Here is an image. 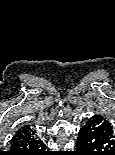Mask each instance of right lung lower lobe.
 <instances>
[{"instance_id": "right-lung-lower-lobe-1", "label": "right lung lower lobe", "mask_w": 115, "mask_h": 155, "mask_svg": "<svg viewBox=\"0 0 115 155\" xmlns=\"http://www.w3.org/2000/svg\"><path fill=\"white\" fill-rule=\"evenodd\" d=\"M45 149L46 146L36 130L25 127L12 138L9 155H49Z\"/></svg>"}]
</instances>
